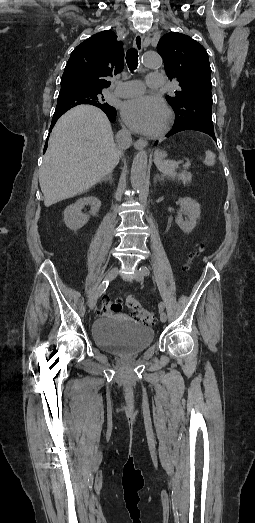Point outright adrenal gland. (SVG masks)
<instances>
[{"label": "right adrenal gland", "mask_w": 255, "mask_h": 523, "mask_svg": "<svg viewBox=\"0 0 255 523\" xmlns=\"http://www.w3.org/2000/svg\"><path fill=\"white\" fill-rule=\"evenodd\" d=\"M113 174L111 172V174H108V176H105V178H103V180H110L111 184L113 182V178H112Z\"/></svg>", "instance_id": "2a0ac1e0"}]
</instances>
